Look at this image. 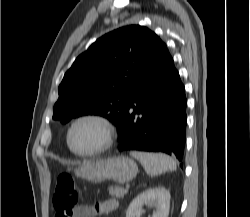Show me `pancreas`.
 Here are the masks:
<instances>
[{"instance_id": "pancreas-1", "label": "pancreas", "mask_w": 250, "mask_h": 217, "mask_svg": "<svg viewBox=\"0 0 250 217\" xmlns=\"http://www.w3.org/2000/svg\"><path fill=\"white\" fill-rule=\"evenodd\" d=\"M108 191H109V194L112 196V197H116V198H122L124 196V189L122 187H113V186H110L108 188Z\"/></svg>"}]
</instances>
